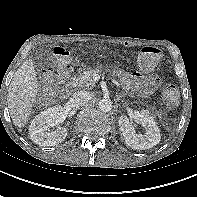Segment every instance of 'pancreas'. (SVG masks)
<instances>
[{"mask_svg": "<svg viewBox=\"0 0 197 197\" xmlns=\"http://www.w3.org/2000/svg\"><path fill=\"white\" fill-rule=\"evenodd\" d=\"M101 71L99 69H88L82 74L75 76L72 78L71 84L74 87H94L95 81L93 80L94 74H100Z\"/></svg>", "mask_w": 197, "mask_h": 197, "instance_id": "obj_1", "label": "pancreas"}]
</instances>
